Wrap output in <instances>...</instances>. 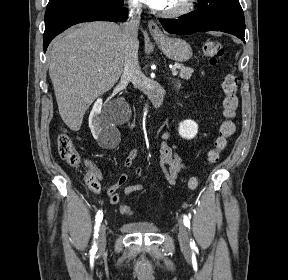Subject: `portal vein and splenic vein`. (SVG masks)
I'll return each instance as SVG.
<instances>
[{
	"instance_id": "18ae733b",
	"label": "portal vein and splenic vein",
	"mask_w": 288,
	"mask_h": 280,
	"mask_svg": "<svg viewBox=\"0 0 288 280\" xmlns=\"http://www.w3.org/2000/svg\"><path fill=\"white\" fill-rule=\"evenodd\" d=\"M172 74H173V75H177V74H178L176 68H172Z\"/></svg>"
}]
</instances>
